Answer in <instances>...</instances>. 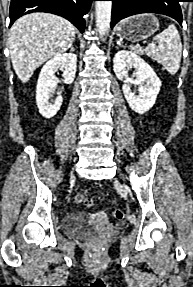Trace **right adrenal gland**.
I'll use <instances>...</instances> for the list:
<instances>
[{
    "label": "right adrenal gland",
    "mask_w": 193,
    "mask_h": 287,
    "mask_svg": "<svg viewBox=\"0 0 193 287\" xmlns=\"http://www.w3.org/2000/svg\"><path fill=\"white\" fill-rule=\"evenodd\" d=\"M71 51L74 52L75 51V48L73 46H71Z\"/></svg>",
    "instance_id": "right-adrenal-gland-1"
}]
</instances>
